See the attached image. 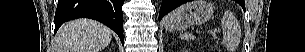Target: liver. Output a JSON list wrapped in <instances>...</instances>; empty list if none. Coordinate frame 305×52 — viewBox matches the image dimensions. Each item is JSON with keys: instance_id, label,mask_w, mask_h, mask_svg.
<instances>
[{"instance_id": "6515ba94", "label": "liver", "mask_w": 305, "mask_h": 52, "mask_svg": "<svg viewBox=\"0 0 305 52\" xmlns=\"http://www.w3.org/2000/svg\"><path fill=\"white\" fill-rule=\"evenodd\" d=\"M111 30L91 19H78L61 26L56 52H100L110 43Z\"/></svg>"}]
</instances>
